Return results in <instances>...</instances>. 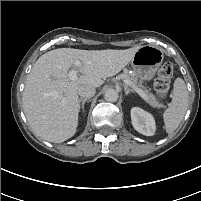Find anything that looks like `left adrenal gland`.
<instances>
[{
	"instance_id": "obj_1",
	"label": "left adrenal gland",
	"mask_w": 201,
	"mask_h": 201,
	"mask_svg": "<svg viewBox=\"0 0 201 201\" xmlns=\"http://www.w3.org/2000/svg\"><path fill=\"white\" fill-rule=\"evenodd\" d=\"M124 88H125L126 95H128L130 92H132V90H130L127 86H125Z\"/></svg>"
}]
</instances>
